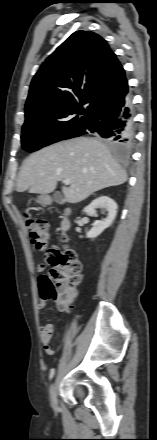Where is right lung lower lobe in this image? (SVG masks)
Returning a JSON list of instances; mask_svg holds the SVG:
<instances>
[{
  "instance_id": "obj_1",
  "label": "right lung lower lobe",
  "mask_w": 157,
  "mask_h": 440,
  "mask_svg": "<svg viewBox=\"0 0 157 440\" xmlns=\"http://www.w3.org/2000/svg\"><path fill=\"white\" fill-rule=\"evenodd\" d=\"M81 135L97 132L101 137L124 148L134 142V124L129 96L115 106L98 112L84 125Z\"/></svg>"
}]
</instances>
